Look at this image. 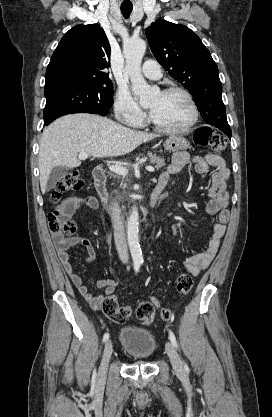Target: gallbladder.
Returning <instances> with one entry per match:
<instances>
[{"label":"gallbladder","instance_id":"1","mask_svg":"<svg viewBox=\"0 0 272 417\" xmlns=\"http://www.w3.org/2000/svg\"><path fill=\"white\" fill-rule=\"evenodd\" d=\"M69 172V168L65 166H56L52 169L49 179L47 181L46 189L52 190L58 181L64 178Z\"/></svg>","mask_w":272,"mask_h":417}]
</instances>
